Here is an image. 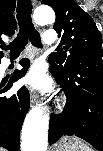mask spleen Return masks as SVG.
<instances>
[{
  "mask_svg": "<svg viewBox=\"0 0 103 151\" xmlns=\"http://www.w3.org/2000/svg\"><path fill=\"white\" fill-rule=\"evenodd\" d=\"M74 140L80 145L82 151H92L88 146L84 145L80 140L74 138Z\"/></svg>",
  "mask_w": 103,
  "mask_h": 151,
  "instance_id": "1",
  "label": "spleen"
}]
</instances>
